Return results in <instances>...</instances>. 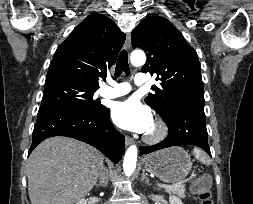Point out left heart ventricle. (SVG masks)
<instances>
[{
    "label": "left heart ventricle",
    "mask_w": 253,
    "mask_h": 204,
    "mask_svg": "<svg viewBox=\"0 0 253 204\" xmlns=\"http://www.w3.org/2000/svg\"><path fill=\"white\" fill-rule=\"evenodd\" d=\"M154 131V126H153V124L151 125V127L149 128V130L147 131V133H151V132H153Z\"/></svg>",
    "instance_id": "b2bd125f"
}]
</instances>
